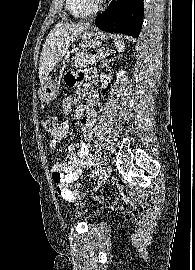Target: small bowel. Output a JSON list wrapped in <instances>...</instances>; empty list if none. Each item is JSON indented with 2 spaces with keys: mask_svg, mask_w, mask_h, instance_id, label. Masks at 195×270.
Instances as JSON below:
<instances>
[{
  "mask_svg": "<svg viewBox=\"0 0 195 270\" xmlns=\"http://www.w3.org/2000/svg\"><path fill=\"white\" fill-rule=\"evenodd\" d=\"M90 78L89 74L75 71L68 72L65 77L68 86L73 87L79 83H84L86 86V104L77 106L74 111L81 127L82 139L78 144H71L63 160L56 162L52 168V178L57 185V192L67 201L77 199V195L72 191V186H69V184L75 182L83 174L84 169L92 165L88 144L93 140V122L96 117L94 107L97 102V95L88 87ZM62 110L66 116L72 113V96H66L63 99ZM69 130V122L63 121L49 132L52 137L49 146L52 150H55L59 142L68 136Z\"/></svg>",
  "mask_w": 195,
  "mask_h": 270,
  "instance_id": "small-bowel-1",
  "label": "small bowel"
}]
</instances>
